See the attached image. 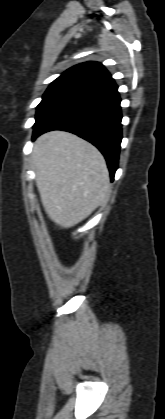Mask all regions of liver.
Wrapping results in <instances>:
<instances>
[{
    "label": "liver",
    "instance_id": "liver-1",
    "mask_svg": "<svg viewBox=\"0 0 165 419\" xmlns=\"http://www.w3.org/2000/svg\"><path fill=\"white\" fill-rule=\"evenodd\" d=\"M32 165L44 210L62 228L78 224L108 201L110 177L103 155L74 134L52 131L40 136Z\"/></svg>",
    "mask_w": 165,
    "mask_h": 419
}]
</instances>
